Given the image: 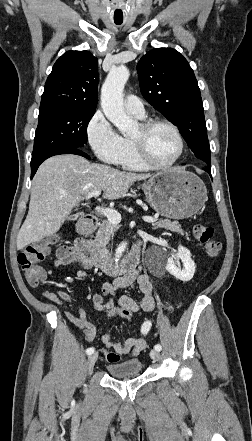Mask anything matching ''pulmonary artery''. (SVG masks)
Returning a JSON list of instances; mask_svg holds the SVG:
<instances>
[{
    "label": "pulmonary artery",
    "mask_w": 252,
    "mask_h": 441,
    "mask_svg": "<svg viewBox=\"0 0 252 441\" xmlns=\"http://www.w3.org/2000/svg\"><path fill=\"white\" fill-rule=\"evenodd\" d=\"M124 107L126 111L135 115L136 117L143 118L146 115L142 101L135 95H128L125 98Z\"/></svg>",
    "instance_id": "pulmonary-artery-1"
}]
</instances>
